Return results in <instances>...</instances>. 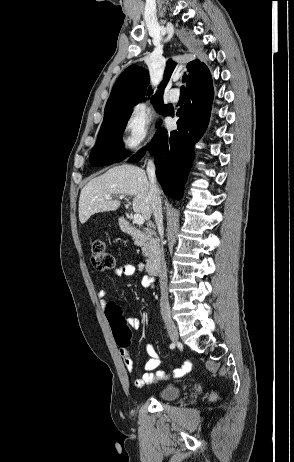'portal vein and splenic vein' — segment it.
<instances>
[{"mask_svg": "<svg viewBox=\"0 0 294 462\" xmlns=\"http://www.w3.org/2000/svg\"><path fill=\"white\" fill-rule=\"evenodd\" d=\"M120 199L124 198V196H120ZM105 199H111L110 195H105ZM133 222L137 225H142L145 222L144 217L141 214H134L133 216Z\"/></svg>", "mask_w": 294, "mask_h": 462, "instance_id": "portal-vein-and-splenic-vein-1", "label": "portal vein and splenic vein"}]
</instances>
